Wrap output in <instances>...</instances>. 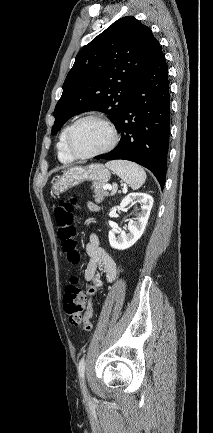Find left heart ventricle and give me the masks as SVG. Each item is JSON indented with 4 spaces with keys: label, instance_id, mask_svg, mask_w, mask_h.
Returning <instances> with one entry per match:
<instances>
[{
    "label": "left heart ventricle",
    "instance_id": "obj_1",
    "mask_svg": "<svg viewBox=\"0 0 213 433\" xmlns=\"http://www.w3.org/2000/svg\"><path fill=\"white\" fill-rule=\"evenodd\" d=\"M110 141L108 129L99 121L81 122L72 135V145L79 154L86 155L103 149Z\"/></svg>",
    "mask_w": 213,
    "mask_h": 433
}]
</instances>
